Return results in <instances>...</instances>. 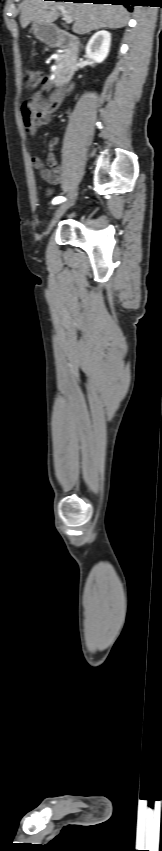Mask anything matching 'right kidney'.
<instances>
[{
  "label": "right kidney",
  "mask_w": 162,
  "mask_h": 851,
  "mask_svg": "<svg viewBox=\"0 0 162 851\" xmlns=\"http://www.w3.org/2000/svg\"><path fill=\"white\" fill-rule=\"evenodd\" d=\"M110 44L111 34L105 30L98 31L88 41L86 55L96 63H101L109 53Z\"/></svg>",
  "instance_id": "ca27d5eb"
}]
</instances>
